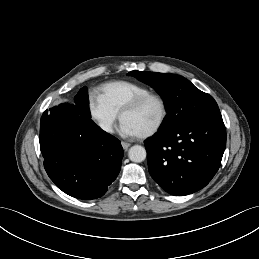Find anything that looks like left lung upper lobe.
<instances>
[{
    "label": "left lung upper lobe",
    "mask_w": 259,
    "mask_h": 259,
    "mask_svg": "<svg viewBox=\"0 0 259 259\" xmlns=\"http://www.w3.org/2000/svg\"><path fill=\"white\" fill-rule=\"evenodd\" d=\"M127 75L150 85L163 97L168 114L161 132L173 131L203 120L221 117L214 98L196 88L182 76L137 70Z\"/></svg>",
    "instance_id": "5c2ea615"
}]
</instances>
